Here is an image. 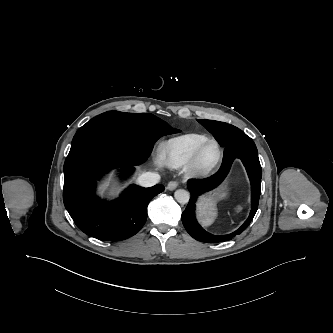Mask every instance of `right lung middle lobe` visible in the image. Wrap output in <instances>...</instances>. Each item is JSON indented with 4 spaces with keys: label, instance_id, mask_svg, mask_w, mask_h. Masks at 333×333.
<instances>
[{
    "label": "right lung middle lobe",
    "instance_id": "obj_1",
    "mask_svg": "<svg viewBox=\"0 0 333 333\" xmlns=\"http://www.w3.org/2000/svg\"><path fill=\"white\" fill-rule=\"evenodd\" d=\"M178 132L180 131L149 113L110 111L83 125L75 134L72 143L90 135H102L149 156L154 143L160 137Z\"/></svg>",
    "mask_w": 333,
    "mask_h": 333
}]
</instances>
